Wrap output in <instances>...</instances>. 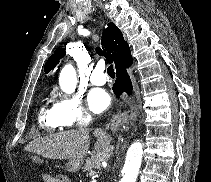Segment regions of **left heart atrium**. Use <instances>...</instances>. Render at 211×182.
Instances as JSON below:
<instances>
[{
	"label": "left heart atrium",
	"mask_w": 211,
	"mask_h": 182,
	"mask_svg": "<svg viewBox=\"0 0 211 182\" xmlns=\"http://www.w3.org/2000/svg\"><path fill=\"white\" fill-rule=\"evenodd\" d=\"M87 101L90 110L98 114L108 107L110 97L105 91L96 89L89 92Z\"/></svg>",
	"instance_id": "left-heart-atrium-1"
}]
</instances>
